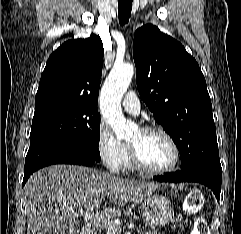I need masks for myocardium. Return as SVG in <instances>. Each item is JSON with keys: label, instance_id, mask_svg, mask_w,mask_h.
I'll use <instances>...</instances> for the list:
<instances>
[{"label": "myocardium", "instance_id": "myocardium-1", "mask_svg": "<svg viewBox=\"0 0 241 234\" xmlns=\"http://www.w3.org/2000/svg\"><path fill=\"white\" fill-rule=\"evenodd\" d=\"M140 131L143 134L159 133V134L163 135L164 137H166V139L170 142V144L173 148L174 159H173L172 163L165 168H162V169L150 168L147 165H145L144 162L142 161L137 146H135L133 144H129L130 158H131V162H132L134 168H136L140 172H143V173L149 174V175H164V174L170 173L173 170H175L180 161L181 151H180L177 141L172 136V134L160 126H147V127L140 129Z\"/></svg>", "mask_w": 241, "mask_h": 234}]
</instances>
